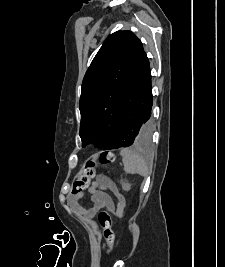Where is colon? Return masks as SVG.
Instances as JSON below:
<instances>
[{
	"label": "colon",
	"mask_w": 225,
	"mask_h": 267,
	"mask_svg": "<svg viewBox=\"0 0 225 267\" xmlns=\"http://www.w3.org/2000/svg\"><path fill=\"white\" fill-rule=\"evenodd\" d=\"M115 161V156L110 151H103L96 157L87 160L81 168V171L74 182V193H81L88 189L92 178L95 175L96 168L101 166H107ZM119 208L124 210L125 200H119ZM98 220L104 230V237L107 241V253L110 255L114 247L115 236L111 229V216L107 208L102 209L98 214Z\"/></svg>",
	"instance_id": "obj_1"
}]
</instances>
